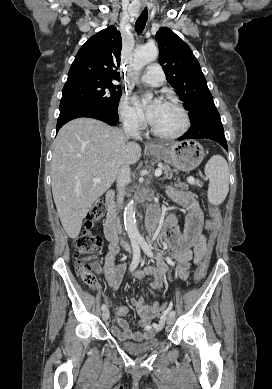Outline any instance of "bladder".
<instances>
[{
    "instance_id": "bladder-1",
    "label": "bladder",
    "mask_w": 272,
    "mask_h": 389,
    "mask_svg": "<svg viewBox=\"0 0 272 389\" xmlns=\"http://www.w3.org/2000/svg\"><path fill=\"white\" fill-rule=\"evenodd\" d=\"M120 346L132 354H143L155 350L160 345V340L157 338H151L141 343H135L130 341H120Z\"/></svg>"
}]
</instances>
